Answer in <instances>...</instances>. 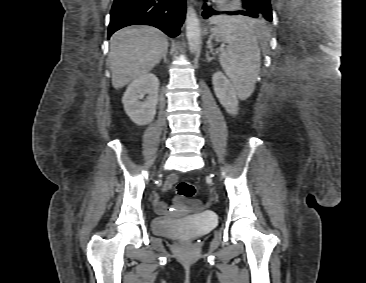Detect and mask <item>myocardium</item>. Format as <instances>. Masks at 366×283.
Masks as SVG:
<instances>
[{
  "instance_id": "1",
  "label": "myocardium",
  "mask_w": 366,
  "mask_h": 283,
  "mask_svg": "<svg viewBox=\"0 0 366 283\" xmlns=\"http://www.w3.org/2000/svg\"><path fill=\"white\" fill-rule=\"evenodd\" d=\"M226 6L237 8L240 4L238 0H223Z\"/></svg>"
}]
</instances>
